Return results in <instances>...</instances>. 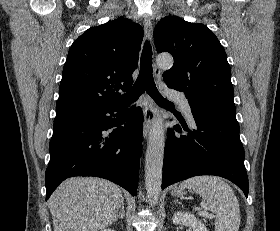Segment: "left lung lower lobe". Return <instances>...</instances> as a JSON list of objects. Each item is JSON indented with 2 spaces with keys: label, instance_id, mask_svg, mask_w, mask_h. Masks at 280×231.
I'll return each mask as SVG.
<instances>
[{
  "label": "left lung lower lobe",
  "instance_id": "0a47b994",
  "mask_svg": "<svg viewBox=\"0 0 280 231\" xmlns=\"http://www.w3.org/2000/svg\"><path fill=\"white\" fill-rule=\"evenodd\" d=\"M197 129L187 134L168 130L164 149L162 189L199 175L229 179L248 196V177L244 149L239 138L235 113L191 108ZM174 129L182 133L179 125Z\"/></svg>",
  "mask_w": 280,
  "mask_h": 231
}]
</instances>
